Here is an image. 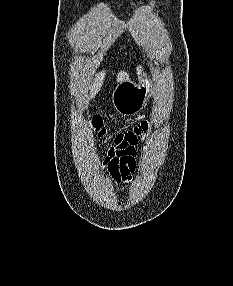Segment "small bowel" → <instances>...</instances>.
Wrapping results in <instances>:
<instances>
[{
    "mask_svg": "<svg viewBox=\"0 0 233 286\" xmlns=\"http://www.w3.org/2000/svg\"><path fill=\"white\" fill-rule=\"evenodd\" d=\"M149 130L147 123L141 124L134 132L116 138L108 147L102 167L116 183H127L138 167L137 145L139 136Z\"/></svg>",
    "mask_w": 233,
    "mask_h": 286,
    "instance_id": "c3829d8e",
    "label": "small bowel"
}]
</instances>
